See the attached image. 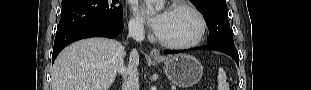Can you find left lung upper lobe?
Returning a JSON list of instances; mask_svg holds the SVG:
<instances>
[{
    "mask_svg": "<svg viewBox=\"0 0 311 90\" xmlns=\"http://www.w3.org/2000/svg\"><path fill=\"white\" fill-rule=\"evenodd\" d=\"M193 3L208 24L207 43L235 47L226 12V0H193Z\"/></svg>",
    "mask_w": 311,
    "mask_h": 90,
    "instance_id": "1",
    "label": "left lung upper lobe"
}]
</instances>
